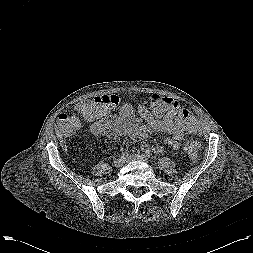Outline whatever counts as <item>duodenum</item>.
Wrapping results in <instances>:
<instances>
[{
  "instance_id": "duodenum-1",
  "label": "duodenum",
  "mask_w": 253,
  "mask_h": 253,
  "mask_svg": "<svg viewBox=\"0 0 253 253\" xmlns=\"http://www.w3.org/2000/svg\"><path fill=\"white\" fill-rule=\"evenodd\" d=\"M116 126H117L116 123L113 122V121H107V122L104 123V129H105L107 132L110 131V130L115 129ZM101 132H102V130H101Z\"/></svg>"
}]
</instances>
